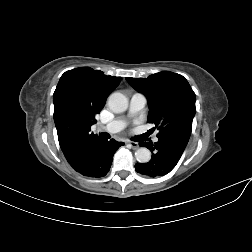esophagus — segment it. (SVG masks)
I'll return each mask as SVG.
<instances>
[{"mask_svg":"<svg viewBox=\"0 0 252 252\" xmlns=\"http://www.w3.org/2000/svg\"><path fill=\"white\" fill-rule=\"evenodd\" d=\"M128 144L133 148V149H137L139 147L137 142L134 141H129Z\"/></svg>","mask_w":252,"mask_h":252,"instance_id":"1","label":"esophagus"}]
</instances>
